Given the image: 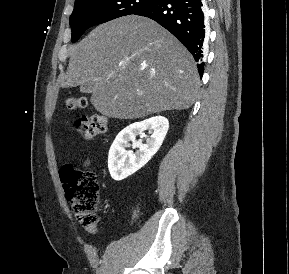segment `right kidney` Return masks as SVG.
Returning <instances> with one entry per match:
<instances>
[{
  "label": "right kidney",
  "instance_id": "ca27d5eb",
  "mask_svg": "<svg viewBox=\"0 0 289 274\" xmlns=\"http://www.w3.org/2000/svg\"><path fill=\"white\" fill-rule=\"evenodd\" d=\"M168 128L169 122L164 116H154L124 128L109 150L108 169L111 177L120 181L142 168L161 147ZM145 131L150 136H145ZM137 136L146 137V142L137 141ZM130 142L137 148L135 152L126 150Z\"/></svg>",
  "mask_w": 289,
  "mask_h": 274
}]
</instances>
